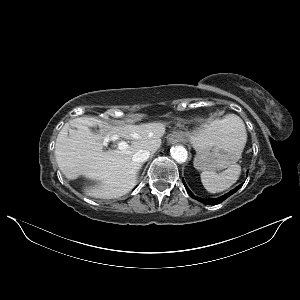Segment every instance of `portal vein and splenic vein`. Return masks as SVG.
I'll return each mask as SVG.
<instances>
[{
	"label": "portal vein and splenic vein",
	"instance_id": "1",
	"mask_svg": "<svg viewBox=\"0 0 300 300\" xmlns=\"http://www.w3.org/2000/svg\"><path fill=\"white\" fill-rule=\"evenodd\" d=\"M127 148H128L127 142H125V141H120V142L118 143V149H120V150H125V149H127Z\"/></svg>",
	"mask_w": 300,
	"mask_h": 300
}]
</instances>
